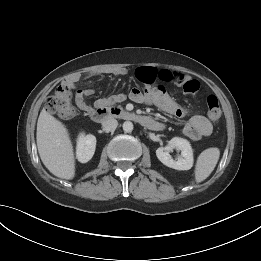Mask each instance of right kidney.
Here are the masks:
<instances>
[{
    "instance_id": "ca27d5eb",
    "label": "right kidney",
    "mask_w": 261,
    "mask_h": 261,
    "mask_svg": "<svg viewBox=\"0 0 261 261\" xmlns=\"http://www.w3.org/2000/svg\"><path fill=\"white\" fill-rule=\"evenodd\" d=\"M96 147V137L94 135L80 134L77 139L76 157L79 162L86 163L94 155Z\"/></svg>"
}]
</instances>
